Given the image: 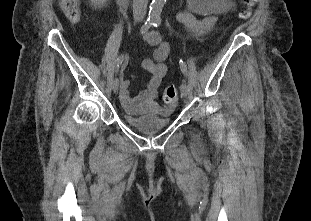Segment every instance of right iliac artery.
Wrapping results in <instances>:
<instances>
[{
	"label": "right iliac artery",
	"mask_w": 311,
	"mask_h": 221,
	"mask_svg": "<svg viewBox=\"0 0 311 221\" xmlns=\"http://www.w3.org/2000/svg\"><path fill=\"white\" fill-rule=\"evenodd\" d=\"M154 25V20H150L148 19L144 25L141 27L140 29V33L141 34H144L145 32L148 31V29ZM123 60H124V56L123 55H120L118 58H117V61H116V66H115V72L117 73L120 66L122 65L123 63Z\"/></svg>",
	"instance_id": "1"
}]
</instances>
